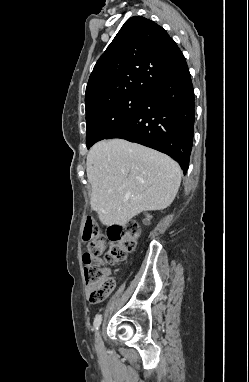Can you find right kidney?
Instances as JSON below:
<instances>
[{"mask_svg":"<svg viewBox=\"0 0 249 382\" xmlns=\"http://www.w3.org/2000/svg\"><path fill=\"white\" fill-rule=\"evenodd\" d=\"M151 218H152L151 215H147V218H146V220H145V223H146V222H149Z\"/></svg>","mask_w":249,"mask_h":382,"instance_id":"right-kidney-1","label":"right kidney"}]
</instances>
